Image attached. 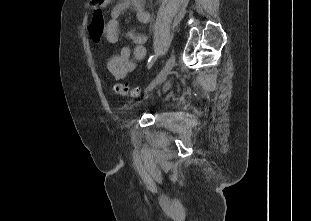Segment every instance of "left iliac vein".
Listing matches in <instances>:
<instances>
[{
	"label": "left iliac vein",
	"instance_id": "4c4485c4",
	"mask_svg": "<svg viewBox=\"0 0 311 221\" xmlns=\"http://www.w3.org/2000/svg\"><path fill=\"white\" fill-rule=\"evenodd\" d=\"M174 65H175V55L171 54L166 64L159 72L157 77L150 83L147 90L150 91L151 89L159 85L161 82H163L166 79V77L171 73V70L173 69Z\"/></svg>",
	"mask_w": 311,
	"mask_h": 221
}]
</instances>
